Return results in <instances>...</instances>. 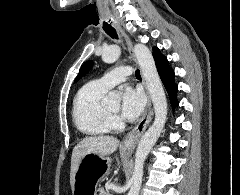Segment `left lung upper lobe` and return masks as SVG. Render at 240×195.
<instances>
[{
    "label": "left lung upper lobe",
    "instance_id": "5c2ea615",
    "mask_svg": "<svg viewBox=\"0 0 240 195\" xmlns=\"http://www.w3.org/2000/svg\"><path fill=\"white\" fill-rule=\"evenodd\" d=\"M152 49H153V56L155 60L163 56L157 47H153ZM92 64H93L92 61H87L86 63L83 64V66L79 71L78 76L75 79V82L78 81L82 76H84L92 68Z\"/></svg>",
    "mask_w": 240,
    "mask_h": 195
}]
</instances>
